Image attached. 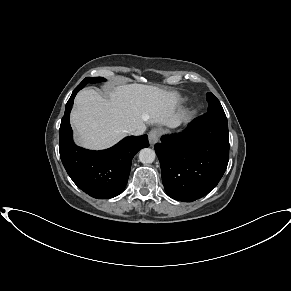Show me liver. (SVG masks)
<instances>
[{
  "label": "liver",
  "mask_w": 291,
  "mask_h": 291,
  "mask_svg": "<svg viewBox=\"0 0 291 291\" xmlns=\"http://www.w3.org/2000/svg\"><path fill=\"white\" fill-rule=\"evenodd\" d=\"M105 99L92 89L75 98L71 123L76 142L89 149H105L119 142L132 130L147 124L176 127L182 114L176 113L178 94L158 87L129 84L118 86Z\"/></svg>",
  "instance_id": "liver-1"
}]
</instances>
